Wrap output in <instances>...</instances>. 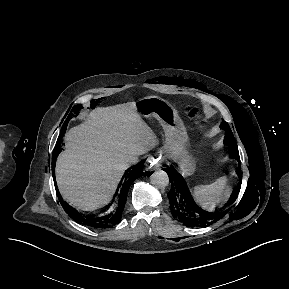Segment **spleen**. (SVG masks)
I'll return each instance as SVG.
<instances>
[{"mask_svg": "<svg viewBox=\"0 0 289 289\" xmlns=\"http://www.w3.org/2000/svg\"><path fill=\"white\" fill-rule=\"evenodd\" d=\"M197 203L204 209L213 210L223 202L228 195V178L226 176L216 179L208 185H198L193 189Z\"/></svg>", "mask_w": 289, "mask_h": 289, "instance_id": "1", "label": "spleen"}]
</instances>
